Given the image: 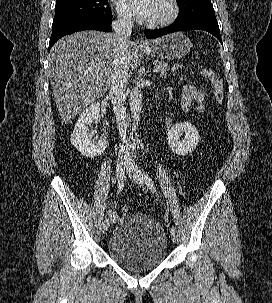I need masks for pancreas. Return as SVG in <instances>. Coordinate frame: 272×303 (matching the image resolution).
Masks as SVG:
<instances>
[{
    "instance_id": "pancreas-1",
    "label": "pancreas",
    "mask_w": 272,
    "mask_h": 303,
    "mask_svg": "<svg viewBox=\"0 0 272 303\" xmlns=\"http://www.w3.org/2000/svg\"><path fill=\"white\" fill-rule=\"evenodd\" d=\"M156 66L159 67V74L161 77L167 76L168 65L164 61H157Z\"/></svg>"
}]
</instances>
